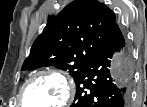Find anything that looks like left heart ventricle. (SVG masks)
<instances>
[{
    "label": "left heart ventricle",
    "mask_w": 147,
    "mask_h": 107,
    "mask_svg": "<svg viewBox=\"0 0 147 107\" xmlns=\"http://www.w3.org/2000/svg\"><path fill=\"white\" fill-rule=\"evenodd\" d=\"M64 95V87L57 78L42 77L30 85L25 102L30 107H54L62 101Z\"/></svg>",
    "instance_id": "1"
}]
</instances>
